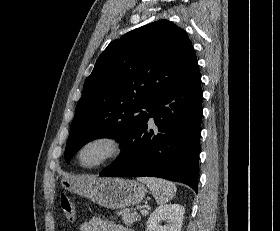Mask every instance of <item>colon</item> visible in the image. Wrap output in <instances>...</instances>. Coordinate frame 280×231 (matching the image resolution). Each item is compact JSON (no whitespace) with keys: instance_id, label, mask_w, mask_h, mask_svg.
<instances>
[{"instance_id":"colon-1","label":"colon","mask_w":280,"mask_h":231,"mask_svg":"<svg viewBox=\"0 0 280 231\" xmlns=\"http://www.w3.org/2000/svg\"><path fill=\"white\" fill-rule=\"evenodd\" d=\"M59 207L61 209V213H67L70 215H63V220H73L74 216L72 215L75 213V208H73V202L71 197L68 194H61L58 198Z\"/></svg>"}]
</instances>
